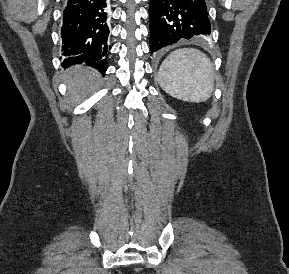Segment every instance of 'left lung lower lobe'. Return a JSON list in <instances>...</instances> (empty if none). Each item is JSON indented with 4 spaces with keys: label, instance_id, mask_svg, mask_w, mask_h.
Wrapping results in <instances>:
<instances>
[{
    "label": "left lung lower lobe",
    "instance_id": "0a47b994",
    "mask_svg": "<svg viewBox=\"0 0 289 274\" xmlns=\"http://www.w3.org/2000/svg\"><path fill=\"white\" fill-rule=\"evenodd\" d=\"M149 17L152 52L211 33L205 0H150Z\"/></svg>",
    "mask_w": 289,
    "mask_h": 274
}]
</instances>
